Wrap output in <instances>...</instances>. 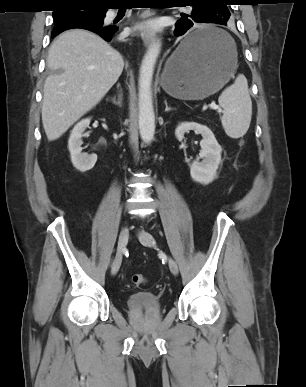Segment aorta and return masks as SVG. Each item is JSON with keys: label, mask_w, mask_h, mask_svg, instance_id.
I'll return each mask as SVG.
<instances>
[{"label": "aorta", "mask_w": 306, "mask_h": 387, "mask_svg": "<svg viewBox=\"0 0 306 387\" xmlns=\"http://www.w3.org/2000/svg\"><path fill=\"white\" fill-rule=\"evenodd\" d=\"M161 51V42L156 40L147 49L139 71V132L144 143L154 139L155 114L152 100V79L154 67Z\"/></svg>", "instance_id": "obj_1"}]
</instances>
